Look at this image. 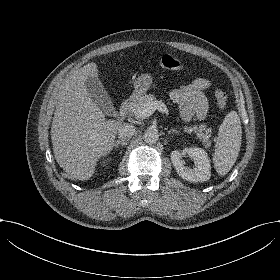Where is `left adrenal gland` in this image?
<instances>
[{"mask_svg": "<svg viewBox=\"0 0 280 280\" xmlns=\"http://www.w3.org/2000/svg\"><path fill=\"white\" fill-rule=\"evenodd\" d=\"M168 133H169V134H170V133H177V134H179V131H177V130H175V129H171V130L168 131Z\"/></svg>", "mask_w": 280, "mask_h": 280, "instance_id": "1", "label": "left adrenal gland"}]
</instances>
